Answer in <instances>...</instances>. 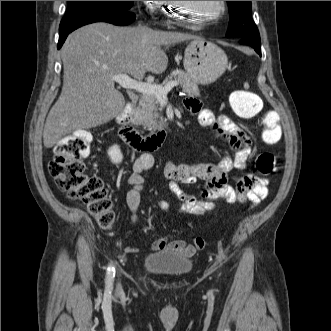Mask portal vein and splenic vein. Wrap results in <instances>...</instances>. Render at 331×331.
<instances>
[{
  "instance_id": "1",
  "label": "portal vein and splenic vein",
  "mask_w": 331,
  "mask_h": 331,
  "mask_svg": "<svg viewBox=\"0 0 331 331\" xmlns=\"http://www.w3.org/2000/svg\"><path fill=\"white\" fill-rule=\"evenodd\" d=\"M122 88L135 90L142 94H153L157 98H166L173 87L178 86L177 81H170L165 86L152 84L151 82H140L130 78L127 74H119L112 77Z\"/></svg>"
}]
</instances>
